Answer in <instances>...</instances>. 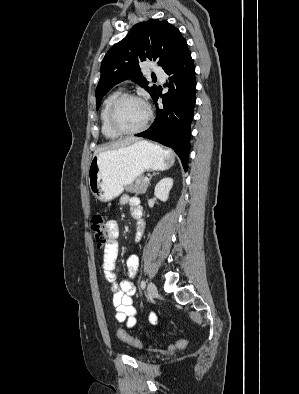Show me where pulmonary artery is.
<instances>
[{
  "mask_svg": "<svg viewBox=\"0 0 299 394\" xmlns=\"http://www.w3.org/2000/svg\"><path fill=\"white\" fill-rule=\"evenodd\" d=\"M155 74L161 82H164L166 74L162 69H156Z\"/></svg>",
  "mask_w": 299,
  "mask_h": 394,
  "instance_id": "obj_1",
  "label": "pulmonary artery"
}]
</instances>
